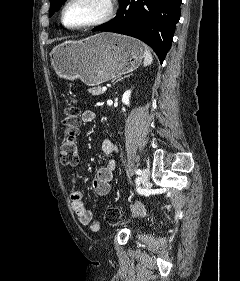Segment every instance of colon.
Here are the masks:
<instances>
[{"label":"colon","mask_w":240,"mask_h":281,"mask_svg":"<svg viewBox=\"0 0 240 281\" xmlns=\"http://www.w3.org/2000/svg\"><path fill=\"white\" fill-rule=\"evenodd\" d=\"M63 124L65 127L64 138L59 150V158L65 166H75L79 160L77 134L80 124L79 109L73 97H67L64 109ZM105 220L109 225L116 226L121 222V212L118 208L111 207L105 213Z\"/></svg>","instance_id":"obj_1"}]
</instances>
